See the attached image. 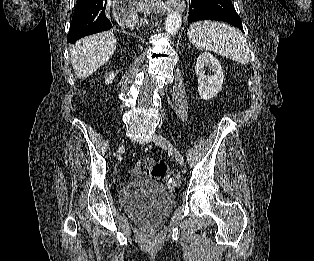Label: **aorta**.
<instances>
[{
  "label": "aorta",
  "mask_w": 314,
  "mask_h": 261,
  "mask_svg": "<svg viewBox=\"0 0 314 261\" xmlns=\"http://www.w3.org/2000/svg\"><path fill=\"white\" fill-rule=\"evenodd\" d=\"M181 23H182L181 14L175 11L171 12L165 21L166 32L169 35H175L179 31Z\"/></svg>",
  "instance_id": "aorta-1"
}]
</instances>
